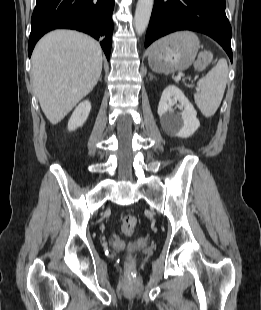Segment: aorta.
I'll list each match as a JSON object with an SVG mask.
<instances>
[{
  "label": "aorta",
  "instance_id": "1",
  "mask_svg": "<svg viewBox=\"0 0 261 310\" xmlns=\"http://www.w3.org/2000/svg\"><path fill=\"white\" fill-rule=\"evenodd\" d=\"M153 4L154 0H138L134 17V26L139 36L145 32L148 26Z\"/></svg>",
  "mask_w": 261,
  "mask_h": 310
}]
</instances>
